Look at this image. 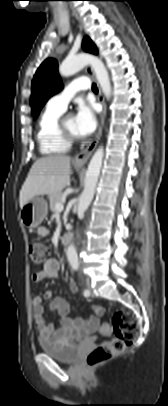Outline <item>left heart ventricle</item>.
<instances>
[{
	"mask_svg": "<svg viewBox=\"0 0 168 406\" xmlns=\"http://www.w3.org/2000/svg\"><path fill=\"white\" fill-rule=\"evenodd\" d=\"M65 127L67 130H69L71 133L77 135L76 128H75V122H74V117L72 115L68 116L65 119Z\"/></svg>",
	"mask_w": 168,
	"mask_h": 406,
	"instance_id": "b2bd125f",
	"label": "left heart ventricle"
}]
</instances>
